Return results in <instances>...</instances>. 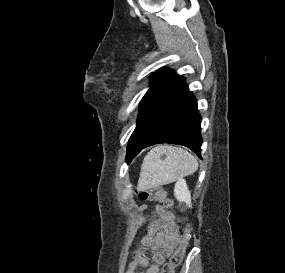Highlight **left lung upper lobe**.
<instances>
[{"mask_svg":"<svg viewBox=\"0 0 285 273\" xmlns=\"http://www.w3.org/2000/svg\"><path fill=\"white\" fill-rule=\"evenodd\" d=\"M154 81L140 101L138 119L153 107L180 79V75L167 68H162L154 75Z\"/></svg>","mask_w":285,"mask_h":273,"instance_id":"left-lung-upper-lobe-1","label":"left lung upper lobe"}]
</instances>
